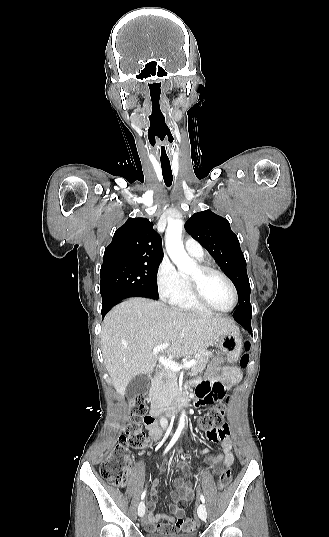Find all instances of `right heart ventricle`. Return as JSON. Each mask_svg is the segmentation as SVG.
<instances>
[{"label": "right heart ventricle", "mask_w": 329, "mask_h": 537, "mask_svg": "<svg viewBox=\"0 0 329 537\" xmlns=\"http://www.w3.org/2000/svg\"><path fill=\"white\" fill-rule=\"evenodd\" d=\"M185 288L182 294L174 299L171 303L178 309L184 310V311H192V312H199V313H207L208 310L202 307L200 304H198L194 298L192 297L188 282L185 281Z\"/></svg>", "instance_id": "e07e8e85"}]
</instances>
